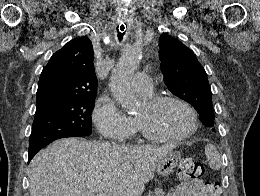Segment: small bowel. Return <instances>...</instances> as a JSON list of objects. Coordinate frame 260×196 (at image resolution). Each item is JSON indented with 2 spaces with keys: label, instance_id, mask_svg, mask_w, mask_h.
Masks as SVG:
<instances>
[{
  "label": "small bowel",
  "instance_id": "1",
  "mask_svg": "<svg viewBox=\"0 0 260 196\" xmlns=\"http://www.w3.org/2000/svg\"><path fill=\"white\" fill-rule=\"evenodd\" d=\"M207 184L200 178L187 180L178 184L168 196H210Z\"/></svg>",
  "mask_w": 260,
  "mask_h": 196
}]
</instances>
